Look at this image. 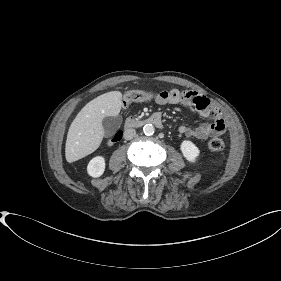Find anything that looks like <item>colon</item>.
I'll list each match as a JSON object with an SVG mask.
<instances>
[{
  "instance_id": "5ec220e1",
  "label": "colon",
  "mask_w": 281,
  "mask_h": 281,
  "mask_svg": "<svg viewBox=\"0 0 281 281\" xmlns=\"http://www.w3.org/2000/svg\"><path fill=\"white\" fill-rule=\"evenodd\" d=\"M157 94L145 91L134 90L127 92L123 97V105L129 106L135 102H144L155 99ZM122 138L121 132H117L115 136L108 140L107 144L112 145ZM208 147L212 151H223L227 148V143L221 138H212L208 141Z\"/></svg>"
}]
</instances>
